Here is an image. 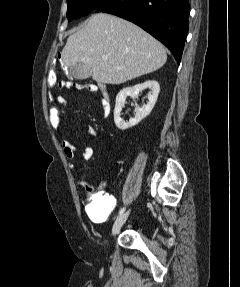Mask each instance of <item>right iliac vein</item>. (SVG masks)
<instances>
[{"label": "right iliac vein", "mask_w": 240, "mask_h": 287, "mask_svg": "<svg viewBox=\"0 0 240 287\" xmlns=\"http://www.w3.org/2000/svg\"><path fill=\"white\" fill-rule=\"evenodd\" d=\"M128 216H129V211L125 212L124 214H122L116 219L112 227V235H116L120 231L121 227L126 222Z\"/></svg>", "instance_id": "right-iliac-vein-1"}]
</instances>
